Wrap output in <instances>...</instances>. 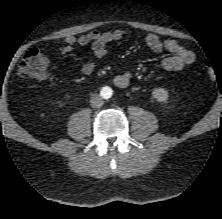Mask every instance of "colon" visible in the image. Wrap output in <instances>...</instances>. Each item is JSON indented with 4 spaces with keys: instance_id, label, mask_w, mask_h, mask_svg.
Returning a JSON list of instances; mask_svg holds the SVG:
<instances>
[{
    "instance_id": "5ec220e1",
    "label": "colon",
    "mask_w": 222,
    "mask_h": 219,
    "mask_svg": "<svg viewBox=\"0 0 222 219\" xmlns=\"http://www.w3.org/2000/svg\"><path fill=\"white\" fill-rule=\"evenodd\" d=\"M49 58L36 48L29 49L17 67V75L21 80H41L48 76ZM205 73L211 80L215 79L216 73L208 62L204 64Z\"/></svg>"
}]
</instances>
